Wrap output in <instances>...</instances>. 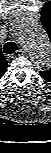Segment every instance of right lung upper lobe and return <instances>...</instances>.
Returning a JSON list of instances; mask_svg holds the SVG:
<instances>
[{
  "instance_id": "obj_1",
  "label": "right lung upper lobe",
  "mask_w": 51,
  "mask_h": 153,
  "mask_svg": "<svg viewBox=\"0 0 51 153\" xmlns=\"http://www.w3.org/2000/svg\"><path fill=\"white\" fill-rule=\"evenodd\" d=\"M8 62L6 61V59L4 58L3 56V53L0 49V78L3 76L4 72H5V69L7 67V64Z\"/></svg>"
}]
</instances>
